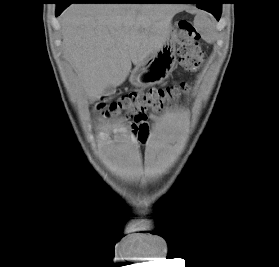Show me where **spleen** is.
<instances>
[{
    "label": "spleen",
    "mask_w": 279,
    "mask_h": 267,
    "mask_svg": "<svg viewBox=\"0 0 279 267\" xmlns=\"http://www.w3.org/2000/svg\"><path fill=\"white\" fill-rule=\"evenodd\" d=\"M196 25L206 38L213 37L212 22L207 16L198 17Z\"/></svg>",
    "instance_id": "3e777b00"
}]
</instances>
